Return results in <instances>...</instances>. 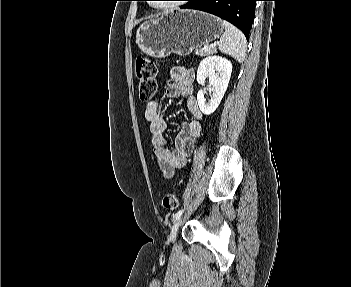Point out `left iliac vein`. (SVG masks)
Instances as JSON below:
<instances>
[{"instance_id":"1","label":"left iliac vein","mask_w":351,"mask_h":287,"mask_svg":"<svg viewBox=\"0 0 351 287\" xmlns=\"http://www.w3.org/2000/svg\"><path fill=\"white\" fill-rule=\"evenodd\" d=\"M182 223V217H180L179 219H177V221L175 222V224L173 225L172 227V230L170 232V235H169V239L171 241H174L175 238H176V235H177V231H178V228L179 226L181 225Z\"/></svg>"}]
</instances>
